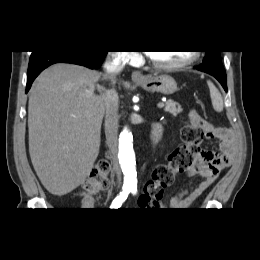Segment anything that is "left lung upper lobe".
<instances>
[{
	"label": "left lung upper lobe",
	"instance_id": "left-lung-upper-lobe-1",
	"mask_svg": "<svg viewBox=\"0 0 260 260\" xmlns=\"http://www.w3.org/2000/svg\"><path fill=\"white\" fill-rule=\"evenodd\" d=\"M206 57L203 60V63H208L211 61L221 62L220 51H205Z\"/></svg>",
	"mask_w": 260,
	"mask_h": 260
}]
</instances>
